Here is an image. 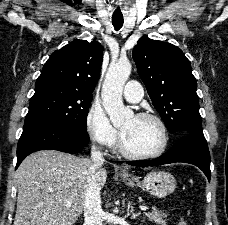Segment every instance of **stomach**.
<instances>
[{
  "label": "stomach",
  "mask_w": 228,
  "mask_h": 225,
  "mask_svg": "<svg viewBox=\"0 0 228 225\" xmlns=\"http://www.w3.org/2000/svg\"><path fill=\"white\" fill-rule=\"evenodd\" d=\"M121 181H124L128 187H143L145 191H148L153 197H158V199H163L167 197L170 193H174L176 189V181L171 175V173H166V171H153V173H148L141 183L138 181L137 177H131V175H120Z\"/></svg>",
  "instance_id": "0dacf381"
}]
</instances>
